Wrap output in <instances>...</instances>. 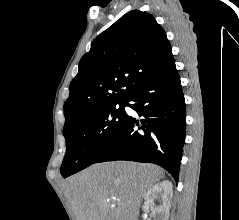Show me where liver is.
I'll return each instance as SVG.
<instances>
[{
  "mask_svg": "<svg viewBox=\"0 0 239 220\" xmlns=\"http://www.w3.org/2000/svg\"><path fill=\"white\" fill-rule=\"evenodd\" d=\"M164 178L151 164H93L70 177L63 189L76 220H137L147 190Z\"/></svg>",
  "mask_w": 239,
  "mask_h": 220,
  "instance_id": "6515ba94",
  "label": "liver"
}]
</instances>
